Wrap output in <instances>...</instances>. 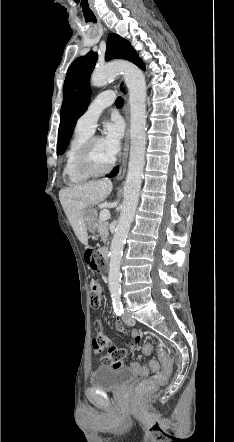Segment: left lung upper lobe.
<instances>
[{
    "mask_svg": "<svg viewBox=\"0 0 234 442\" xmlns=\"http://www.w3.org/2000/svg\"><path fill=\"white\" fill-rule=\"evenodd\" d=\"M125 59L138 67L142 64L131 44L117 34L108 36L105 60ZM97 61V54L90 51L75 59L68 68L64 82L61 120L58 131V155L65 152L71 139L77 119L84 113L90 102L89 77Z\"/></svg>",
    "mask_w": 234,
    "mask_h": 442,
    "instance_id": "obj_1",
    "label": "left lung upper lobe"
}]
</instances>
